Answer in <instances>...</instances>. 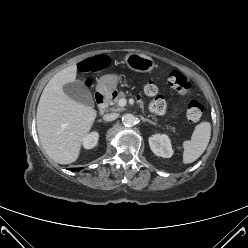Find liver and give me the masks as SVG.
I'll list each match as a JSON object with an SVG mask.
<instances>
[{
  "mask_svg": "<svg viewBox=\"0 0 248 248\" xmlns=\"http://www.w3.org/2000/svg\"><path fill=\"white\" fill-rule=\"evenodd\" d=\"M74 64L55 74L44 88L37 114V132L48 156L59 164L77 160L84 138L88 135L97 112L88 105L70 99L63 86L74 82Z\"/></svg>",
  "mask_w": 248,
  "mask_h": 248,
  "instance_id": "6515ba94",
  "label": "liver"
}]
</instances>
